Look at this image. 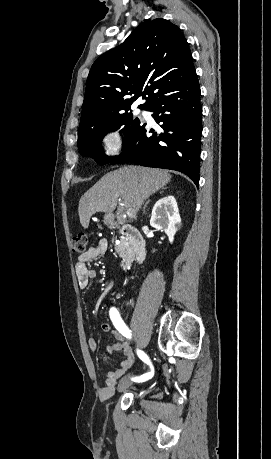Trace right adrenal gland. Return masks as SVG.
Masks as SVG:
<instances>
[{
  "label": "right adrenal gland",
  "mask_w": 271,
  "mask_h": 459,
  "mask_svg": "<svg viewBox=\"0 0 271 459\" xmlns=\"http://www.w3.org/2000/svg\"><path fill=\"white\" fill-rule=\"evenodd\" d=\"M150 200H147V202H145L144 204V208H143V214H145V210L147 208V204H149Z\"/></svg>",
  "instance_id": "1"
}]
</instances>
